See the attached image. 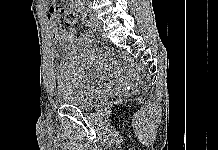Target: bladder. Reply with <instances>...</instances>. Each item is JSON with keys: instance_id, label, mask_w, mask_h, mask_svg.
<instances>
[{"instance_id": "obj_1", "label": "bladder", "mask_w": 218, "mask_h": 150, "mask_svg": "<svg viewBox=\"0 0 218 150\" xmlns=\"http://www.w3.org/2000/svg\"><path fill=\"white\" fill-rule=\"evenodd\" d=\"M72 48L71 53L58 54L57 98L65 105L88 108L95 94V73L84 65L79 49Z\"/></svg>"}]
</instances>
